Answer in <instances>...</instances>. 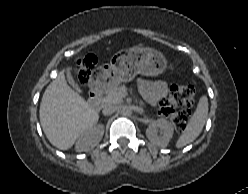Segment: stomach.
<instances>
[{
    "label": "stomach",
    "instance_id": "stomach-1",
    "mask_svg": "<svg viewBox=\"0 0 248 194\" xmlns=\"http://www.w3.org/2000/svg\"><path fill=\"white\" fill-rule=\"evenodd\" d=\"M163 54L151 47H138L120 55H113L110 64L102 68L105 86L115 87L129 82L136 75L157 76L166 69Z\"/></svg>",
    "mask_w": 248,
    "mask_h": 194
}]
</instances>
